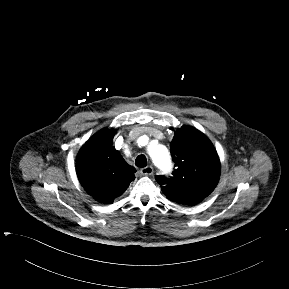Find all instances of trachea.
Segmentation results:
<instances>
[{
  "mask_svg": "<svg viewBox=\"0 0 289 289\" xmlns=\"http://www.w3.org/2000/svg\"><path fill=\"white\" fill-rule=\"evenodd\" d=\"M135 165L137 167H145L147 165V159L144 155H139L135 160Z\"/></svg>",
  "mask_w": 289,
  "mask_h": 289,
  "instance_id": "1",
  "label": "trachea"
}]
</instances>
